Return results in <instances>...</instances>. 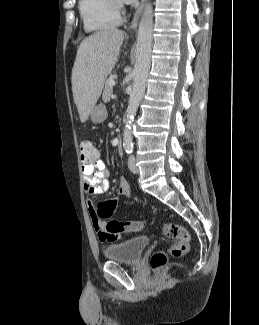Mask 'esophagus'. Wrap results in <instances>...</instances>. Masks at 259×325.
<instances>
[{"label":"esophagus","mask_w":259,"mask_h":325,"mask_svg":"<svg viewBox=\"0 0 259 325\" xmlns=\"http://www.w3.org/2000/svg\"><path fill=\"white\" fill-rule=\"evenodd\" d=\"M145 4H146V0H141L139 7L137 8V10L134 13L133 19L131 21V24L129 26V30L130 31H134L137 29L138 23H139V19L142 15V12L145 8Z\"/></svg>","instance_id":"obj_1"}]
</instances>
